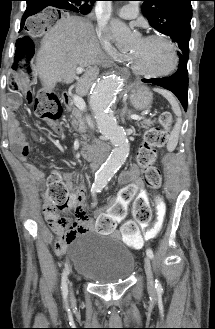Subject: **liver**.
I'll use <instances>...</instances> for the list:
<instances>
[{"mask_svg":"<svg viewBox=\"0 0 215 329\" xmlns=\"http://www.w3.org/2000/svg\"><path fill=\"white\" fill-rule=\"evenodd\" d=\"M91 22L83 17H62L43 37L36 57V73L47 91L57 82L72 83L76 68H86L79 78L76 91L86 94L98 75L97 65L105 63Z\"/></svg>","mask_w":215,"mask_h":329,"instance_id":"obj_1","label":"liver"}]
</instances>
